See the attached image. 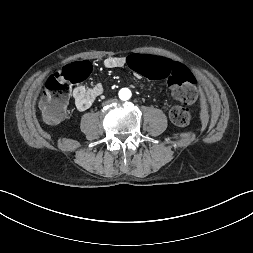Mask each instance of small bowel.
Listing matches in <instances>:
<instances>
[{
  "instance_id": "c3829d8e",
  "label": "small bowel",
  "mask_w": 253,
  "mask_h": 253,
  "mask_svg": "<svg viewBox=\"0 0 253 253\" xmlns=\"http://www.w3.org/2000/svg\"><path fill=\"white\" fill-rule=\"evenodd\" d=\"M127 57L110 56L104 60L103 64L106 68L109 69L123 68L126 67ZM142 76H145V74H143ZM102 92L103 87L100 84H95L92 87H85L83 85H80L74 88L72 96L75 101L77 109L80 111H84L91 107L95 99L99 97L102 94Z\"/></svg>"
}]
</instances>
